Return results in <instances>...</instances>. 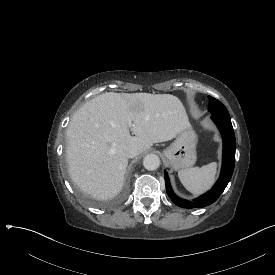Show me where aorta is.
Here are the masks:
<instances>
[{
  "mask_svg": "<svg viewBox=\"0 0 275 275\" xmlns=\"http://www.w3.org/2000/svg\"><path fill=\"white\" fill-rule=\"evenodd\" d=\"M144 167L147 170H155L160 164V157L154 153L147 154L143 160Z\"/></svg>",
  "mask_w": 275,
  "mask_h": 275,
  "instance_id": "762f6f07",
  "label": "aorta"
}]
</instances>
